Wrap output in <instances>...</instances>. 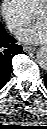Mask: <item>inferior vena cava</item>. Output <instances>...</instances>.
<instances>
[{
  "instance_id": "inferior-vena-cava-1",
  "label": "inferior vena cava",
  "mask_w": 47,
  "mask_h": 129,
  "mask_svg": "<svg viewBox=\"0 0 47 129\" xmlns=\"http://www.w3.org/2000/svg\"><path fill=\"white\" fill-rule=\"evenodd\" d=\"M17 27L18 26L14 23H9L8 24V29H9L10 32H14L17 29Z\"/></svg>"
}]
</instances>
